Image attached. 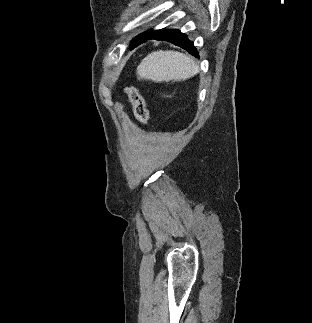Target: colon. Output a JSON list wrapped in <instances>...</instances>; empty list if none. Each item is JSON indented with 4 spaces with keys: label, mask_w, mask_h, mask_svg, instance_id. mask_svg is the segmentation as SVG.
Instances as JSON below:
<instances>
[{
    "label": "colon",
    "mask_w": 312,
    "mask_h": 323,
    "mask_svg": "<svg viewBox=\"0 0 312 323\" xmlns=\"http://www.w3.org/2000/svg\"><path fill=\"white\" fill-rule=\"evenodd\" d=\"M125 92L133 106L137 121L141 125L147 126L149 123V112L143 95L140 93L137 87L132 85L127 86Z\"/></svg>",
    "instance_id": "colon-1"
}]
</instances>
